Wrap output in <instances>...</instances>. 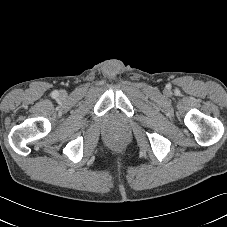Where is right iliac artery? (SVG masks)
Wrapping results in <instances>:
<instances>
[{"label": "right iliac artery", "instance_id": "obj_1", "mask_svg": "<svg viewBox=\"0 0 227 227\" xmlns=\"http://www.w3.org/2000/svg\"><path fill=\"white\" fill-rule=\"evenodd\" d=\"M53 96H55V97L58 96V93L57 92H54L53 93Z\"/></svg>", "mask_w": 227, "mask_h": 227}]
</instances>
